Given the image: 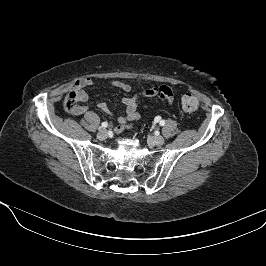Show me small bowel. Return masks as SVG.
<instances>
[{"mask_svg":"<svg viewBox=\"0 0 266 266\" xmlns=\"http://www.w3.org/2000/svg\"><path fill=\"white\" fill-rule=\"evenodd\" d=\"M93 85V80L91 78H83L77 81L74 85L73 90H75L78 94L79 103L87 102L88 94L86 93L85 89ZM111 85L117 89H120L124 92H129L131 90V86L122 81H113ZM145 96L148 97H158L162 101L172 104L175 100L176 90L168 85H160L148 88L143 92ZM123 104L126 108V115L119 117V126L116 127V132H121L124 129L130 127V125L140 119V114L137 112L138 108V99L137 97H126L123 99ZM98 108L105 112L109 113V107L105 102H101L98 104ZM88 106L78 104L74 111L71 113L73 115H82L88 111Z\"/></svg>","mask_w":266,"mask_h":266,"instance_id":"small-bowel-1","label":"small bowel"}]
</instances>
